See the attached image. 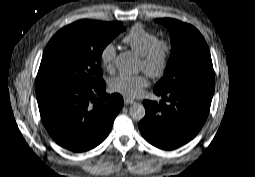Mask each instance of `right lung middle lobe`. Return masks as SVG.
<instances>
[{
    "label": "right lung middle lobe",
    "mask_w": 255,
    "mask_h": 177,
    "mask_svg": "<svg viewBox=\"0 0 255 177\" xmlns=\"http://www.w3.org/2000/svg\"><path fill=\"white\" fill-rule=\"evenodd\" d=\"M125 28L80 20L59 30L47 44L36 87L50 83L92 86L102 80L100 57L107 44Z\"/></svg>",
    "instance_id": "right-lung-middle-lobe-1"
}]
</instances>
